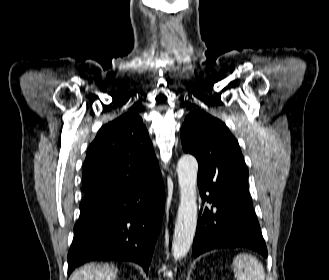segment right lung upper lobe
<instances>
[{"label":"right lung upper lobe","instance_id":"right-lung-upper-lobe-1","mask_svg":"<svg viewBox=\"0 0 329 280\" xmlns=\"http://www.w3.org/2000/svg\"><path fill=\"white\" fill-rule=\"evenodd\" d=\"M159 172L142 118L130 111L100 128L84 162L83 190L113 180H135Z\"/></svg>","mask_w":329,"mask_h":280}]
</instances>
